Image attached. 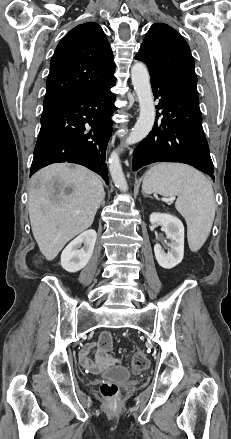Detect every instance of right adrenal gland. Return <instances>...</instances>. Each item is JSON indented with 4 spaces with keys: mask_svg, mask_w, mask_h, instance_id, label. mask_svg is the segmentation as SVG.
I'll return each instance as SVG.
<instances>
[{
    "mask_svg": "<svg viewBox=\"0 0 231 439\" xmlns=\"http://www.w3.org/2000/svg\"><path fill=\"white\" fill-rule=\"evenodd\" d=\"M101 205H102V206L105 205V200H104V198H103V200H102V202H101Z\"/></svg>",
    "mask_w": 231,
    "mask_h": 439,
    "instance_id": "obj_1",
    "label": "right adrenal gland"
}]
</instances>
